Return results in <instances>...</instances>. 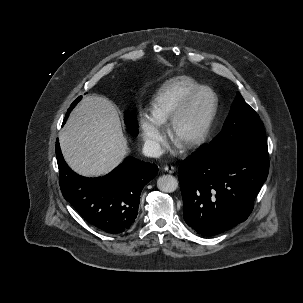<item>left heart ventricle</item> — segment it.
<instances>
[{"label": "left heart ventricle", "instance_id": "b2bd125f", "mask_svg": "<svg viewBox=\"0 0 303 303\" xmlns=\"http://www.w3.org/2000/svg\"><path fill=\"white\" fill-rule=\"evenodd\" d=\"M213 105V97L209 92H203L195 100L189 112L180 123L178 140L181 142L191 138L202 126Z\"/></svg>", "mask_w": 303, "mask_h": 303}]
</instances>
